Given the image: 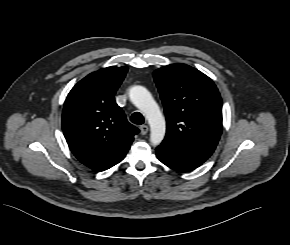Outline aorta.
Segmentation results:
<instances>
[{
    "mask_svg": "<svg viewBox=\"0 0 290 245\" xmlns=\"http://www.w3.org/2000/svg\"><path fill=\"white\" fill-rule=\"evenodd\" d=\"M131 102L141 110L150 126V142L153 146L159 145L164 139L166 122L158 104L150 92L143 86H133L129 91Z\"/></svg>",
    "mask_w": 290,
    "mask_h": 245,
    "instance_id": "obj_1",
    "label": "aorta"
}]
</instances>
